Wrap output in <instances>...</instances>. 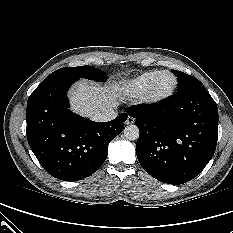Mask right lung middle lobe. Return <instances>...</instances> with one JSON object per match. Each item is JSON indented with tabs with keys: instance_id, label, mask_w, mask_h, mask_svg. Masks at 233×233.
<instances>
[{
	"instance_id": "right-lung-middle-lobe-1",
	"label": "right lung middle lobe",
	"mask_w": 233,
	"mask_h": 233,
	"mask_svg": "<svg viewBox=\"0 0 233 233\" xmlns=\"http://www.w3.org/2000/svg\"><path fill=\"white\" fill-rule=\"evenodd\" d=\"M72 77V78H87L95 81L103 82L106 80V74L92 66H78V67H64L60 68L50 75H48L43 82L39 85H45L59 78Z\"/></svg>"
}]
</instances>
